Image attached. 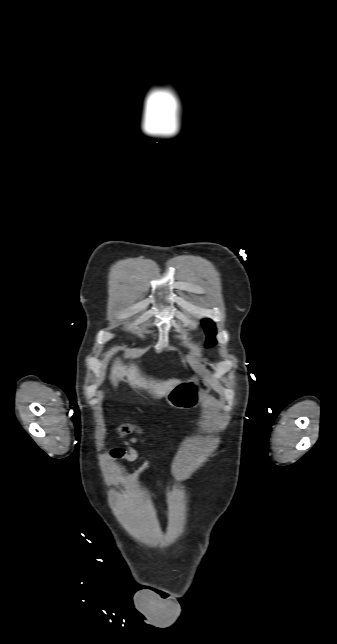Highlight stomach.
<instances>
[{"label": "stomach", "instance_id": "stomach-1", "mask_svg": "<svg viewBox=\"0 0 337 644\" xmlns=\"http://www.w3.org/2000/svg\"><path fill=\"white\" fill-rule=\"evenodd\" d=\"M208 379L196 374L190 379L180 382L166 396L168 404L178 409L197 407L210 391Z\"/></svg>", "mask_w": 337, "mask_h": 644}]
</instances>
